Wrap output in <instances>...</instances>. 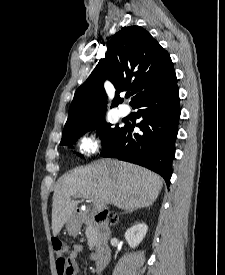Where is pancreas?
Returning a JSON list of instances; mask_svg holds the SVG:
<instances>
[{"instance_id": "pancreas-1", "label": "pancreas", "mask_w": 225, "mask_h": 275, "mask_svg": "<svg viewBox=\"0 0 225 275\" xmlns=\"http://www.w3.org/2000/svg\"><path fill=\"white\" fill-rule=\"evenodd\" d=\"M97 227L95 225H88L86 228V236L88 239V244L90 248H93L96 244V235Z\"/></svg>"}]
</instances>
